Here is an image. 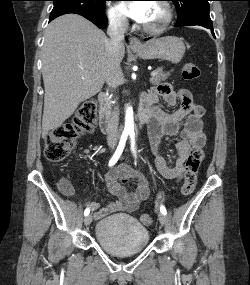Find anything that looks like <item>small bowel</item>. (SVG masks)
<instances>
[{
  "mask_svg": "<svg viewBox=\"0 0 250 285\" xmlns=\"http://www.w3.org/2000/svg\"><path fill=\"white\" fill-rule=\"evenodd\" d=\"M159 99L170 106H174L178 100L181 104L175 112L167 113L156 105ZM142 102L148 103L152 110L149 122V137L156 155V168L163 178L179 181L185 172V162L190 149L195 146L203 147L205 145L206 137L201 121L204 109L193 101L188 90L175 91L168 83L160 84L143 95ZM178 134L180 140L175 144L177 159L175 165L171 166L161 154L160 144L164 136ZM131 180L135 181L136 188L133 191H127L124 184ZM106 183L109 191L117 197V200L104 208H100L96 202L87 203L94 211L95 219H101L120 211L132 212L150 195L149 182L136 169L128 165H119L112 169L106 177ZM59 188L65 196L73 195V187L67 180H62Z\"/></svg>",
  "mask_w": 250,
  "mask_h": 285,
  "instance_id": "small-bowel-1",
  "label": "small bowel"
}]
</instances>
